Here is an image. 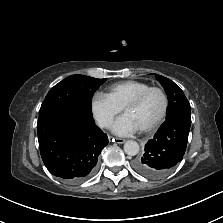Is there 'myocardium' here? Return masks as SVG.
Instances as JSON below:
<instances>
[{
    "label": "myocardium",
    "instance_id": "myocardium-1",
    "mask_svg": "<svg viewBox=\"0 0 223 223\" xmlns=\"http://www.w3.org/2000/svg\"><path fill=\"white\" fill-rule=\"evenodd\" d=\"M152 91H158L161 93L164 100V105L159 117L152 124L140 129V131L143 133H148V132H152L156 130L165 120L168 113V109H169V97H168L167 92L161 87L150 86L146 88L145 90L141 91L140 93H138L123 108V111L125 112L129 108L139 105L143 101V99Z\"/></svg>",
    "mask_w": 223,
    "mask_h": 223
}]
</instances>
